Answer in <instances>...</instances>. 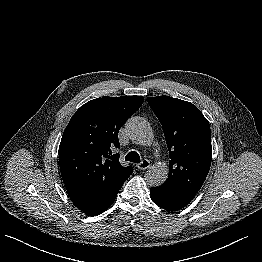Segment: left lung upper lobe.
<instances>
[{"label": "left lung upper lobe", "mask_w": 262, "mask_h": 262, "mask_svg": "<svg viewBox=\"0 0 262 262\" xmlns=\"http://www.w3.org/2000/svg\"><path fill=\"white\" fill-rule=\"evenodd\" d=\"M162 124L169 149L165 183L196 194L211 165V132L207 119L192 103L169 96L148 97Z\"/></svg>", "instance_id": "5c2ea615"}]
</instances>
